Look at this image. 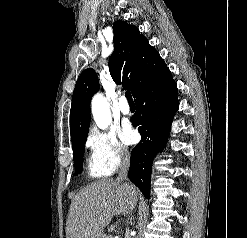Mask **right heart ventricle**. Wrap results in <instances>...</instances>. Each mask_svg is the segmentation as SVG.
Segmentation results:
<instances>
[{
	"label": "right heart ventricle",
	"instance_id": "right-heart-ventricle-1",
	"mask_svg": "<svg viewBox=\"0 0 247 238\" xmlns=\"http://www.w3.org/2000/svg\"><path fill=\"white\" fill-rule=\"evenodd\" d=\"M86 170L88 176L93 179L103 178L110 174V172L101 165L93 154L87 159Z\"/></svg>",
	"mask_w": 247,
	"mask_h": 238
}]
</instances>
